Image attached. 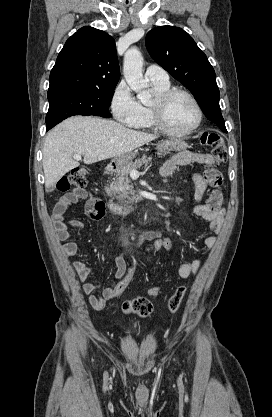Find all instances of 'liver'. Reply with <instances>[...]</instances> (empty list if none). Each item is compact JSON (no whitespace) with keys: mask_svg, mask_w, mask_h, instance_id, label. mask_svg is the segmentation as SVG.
<instances>
[{"mask_svg":"<svg viewBox=\"0 0 272 417\" xmlns=\"http://www.w3.org/2000/svg\"><path fill=\"white\" fill-rule=\"evenodd\" d=\"M156 138L112 120L91 116L68 118L45 138L42 163L46 185L53 186L80 165L72 158L73 154H82L84 163L89 165L131 152Z\"/></svg>","mask_w":272,"mask_h":417,"instance_id":"obj_1","label":"liver"}]
</instances>
